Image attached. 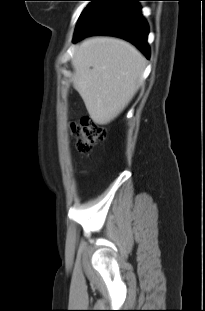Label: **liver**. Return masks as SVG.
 Returning a JSON list of instances; mask_svg holds the SVG:
<instances>
[{
    "label": "liver",
    "instance_id": "6515ba94",
    "mask_svg": "<svg viewBox=\"0 0 205 311\" xmlns=\"http://www.w3.org/2000/svg\"><path fill=\"white\" fill-rule=\"evenodd\" d=\"M74 87L96 124L117 117L135 95L145 58L125 41L95 37L81 43L72 60Z\"/></svg>",
    "mask_w": 205,
    "mask_h": 311
}]
</instances>
